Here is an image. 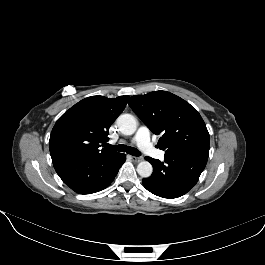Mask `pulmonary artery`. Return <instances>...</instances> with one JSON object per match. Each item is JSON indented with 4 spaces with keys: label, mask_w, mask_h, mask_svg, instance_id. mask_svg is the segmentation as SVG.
<instances>
[{
    "label": "pulmonary artery",
    "mask_w": 265,
    "mask_h": 265,
    "mask_svg": "<svg viewBox=\"0 0 265 265\" xmlns=\"http://www.w3.org/2000/svg\"><path fill=\"white\" fill-rule=\"evenodd\" d=\"M134 142L138 145L139 149L145 154L152 157H163V153L155 148L152 142L149 139V131L145 127H141L135 137Z\"/></svg>",
    "instance_id": "e3ab8cb5"
}]
</instances>
